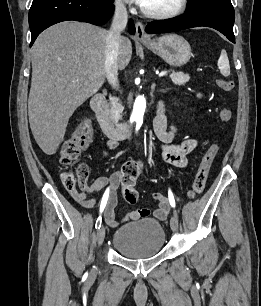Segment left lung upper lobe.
Instances as JSON below:
<instances>
[{
	"mask_svg": "<svg viewBox=\"0 0 261 306\" xmlns=\"http://www.w3.org/2000/svg\"><path fill=\"white\" fill-rule=\"evenodd\" d=\"M231 4L230 0H188L187 11H197L203 8L217 7Z\"/></svg>",
	"mask_w": 261,
	"mask_h": 306,
	"instance_id": "left-lung-upper-lobe-1",
	"label": "left lung upper lobe"
}]
</instances>
